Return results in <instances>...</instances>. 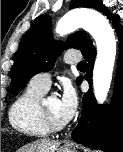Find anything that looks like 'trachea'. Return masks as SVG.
Returning a JSON list of instances; mask_svg holds the SVG:
<instances>
[{"instance_id":"3493384b","label":"trachea","mask_w":123,"mask_h":152,"mask_svg":"<svg viewBox=\"0 0 123 152\" xmlns=\"http://www.w3.org/2000/svg\"><path fill=\"white\" fill-rule=\"evenodd\" d=\"M77 67L79 69H84V68H86V63L84 61H81L80 63H78Z\"/></svg>"}]
</instances>
